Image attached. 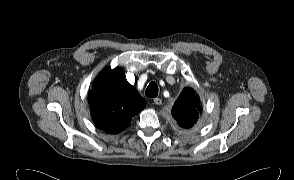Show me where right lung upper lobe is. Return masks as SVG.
<instances>
[{"mask_svg": "<svg viewBox=\"0 0 294 180\" xmlns=\"http://www.w3.org/2000/svg\"><path fill=\"white\" fill-rule=\"evenodd\" d=\"M89 102L93 120L110 134L127 128L132 117L146 105L120 68H107L97 76L89 93Z\"/></svg>", "mask_w": 294, "mask_h": 180, "instance_id": "1", "label": "right lung upper lobe"}]
</instances>
